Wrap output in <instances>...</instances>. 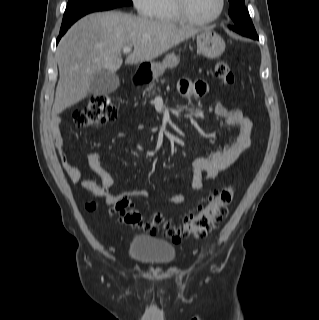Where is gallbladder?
<instances>
[{
  "mask_svg": "<svg viewBox=\"0 0 319 320\" xmlns=\"http://www.w3.org/2000/svg\"><path fill=\"white\" fill-rule=\"evenodd\" d=\"M119 77L115 73L101 70L90 82L89 94L103 95L114 92L119 86Z\"/></svg>",
  "mask_w": 319,
  "mask_h": 320,
  "instance_id": "bac80fb5",
  "label": "gallbladder"
}]
</instances>
